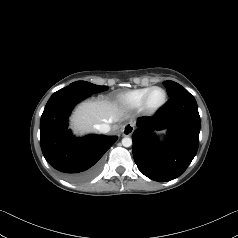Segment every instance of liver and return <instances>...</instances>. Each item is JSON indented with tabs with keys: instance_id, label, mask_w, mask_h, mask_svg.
<instances>
[{
	"instance_id": "6515ba94",
	"label": "liver",
	"mask_w": 238,
	"mask_h": 238,
	"mask_svg": "<svg viewBox=\"0 0 238 238\" xmlns=\"http://www.w3.org/2000/svg\"><path fill=\"white\" fill-rule=\"evenodd\" d=\"M124 111L116 103L107 101H85L78 105L71 117V127L76 134L95 130V125L115 123L121 120ZM115 128V127H114Z\"/></svg>"
}]
</instances>
